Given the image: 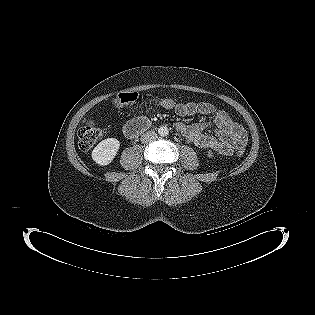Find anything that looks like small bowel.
Returning <instances> with one entry per match:
<instances>
[{
    "mask_svg": "<svg viewBox=\"0 0 315 315\" xmlns=\"http://www.w3.org/2000/svg\"><path fill=\"white\" fill-rule=\"evenodd\" d=\"M175 113L182 117L195 114L214 115V123L202 122L188 125L183 122L175 123L176 130L185 140L199 149L212 150L221 155H230L239 148H244L247 142L245 129L224 110H218L209 102L176 103ZM214 128V134H206L204 129Z\"/></svg>",
    "mask_w": 315,
    "mask_h": 315,
    "instance_id": "obj_1",
    "label": "small bowel"
}]
</instances>
